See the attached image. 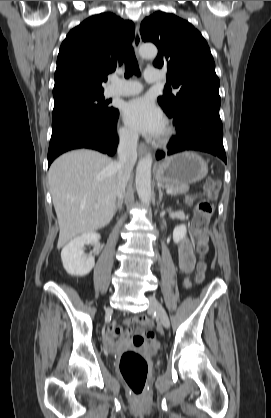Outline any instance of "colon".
Wrapping results in <instances>:
<instances>
[{
	"label": "colon",
	"instance_id": "1",
	"mask_svg": "<svg viewBox=\"0 0 271 418\" xmlns=\"http://www.w3.org/2000/svg\"><path fill=\"white\" fill-rule=\"evenodd\" d=\"M219 188L220 184L218 182L208 181L203 190L205 198L199 200L195 207V215L192 221L193 239L202 256H205L208 251L206 229L214 211L211 199L216 196ZM205 271L206 263L202 260L198 265V282L203 281ZM139 322L149 327L145 336L153 338L154 333L150 329V321L145 316H139ZM119 369L130 391L136 396L141 395L145 390L149 372V364L146 358L135 351H126L120 358Z\"/></svg>",
	"mask_w": 271,
	"mask_h": 418
}]
</instances>
